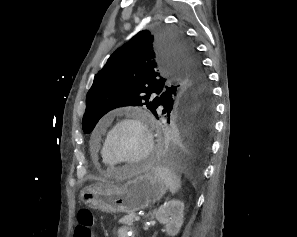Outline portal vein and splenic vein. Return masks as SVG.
Returning <instances> with one entry per match:
<instances>
[{"label": "portal vein and splenic vein", "mask_w": 297, "mask_h": 237, "mask_svg": "<svg viewBox=\"0 0 297 237\" xmlns=\"http://www.w3.org/2000/svg\"><path fill=\"white\" fill-rule=\"evenodd\" d=\"M138 220H140V216H137V217L135 218V221H138Z\"/></svg>", "instance_id": "portal-vein-and-splenic-vein-1"}]
</instances>
